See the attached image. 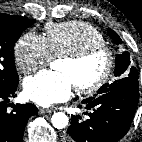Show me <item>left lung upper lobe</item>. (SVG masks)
Instances as JSON below:
<instances>
[{
	"label": "left lung upper lobe",
	"mask_w": 142,
	"mask_h": 142,
	"mask_svg": "<svg viewBox=\"0 0 142 142\" xmlns=\"http://www.w3.org/2000/svg\"><path fill=\"white\" fill-rule=\"evenodd\" d=\"M108 34L115 44L122 43L120 37L112 29L108 28ZM114 74L117 79L111 84H104L98 90V96L128 85L139 86L137 69L131 65L130 54L127 51L116 55ZM97 95H94V97Z\"/></svg>",
	"instance_id": "1"
}]
</instances>
